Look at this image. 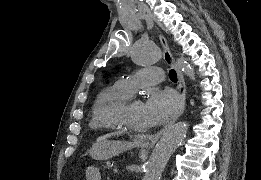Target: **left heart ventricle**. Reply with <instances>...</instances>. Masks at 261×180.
I'll return each instance as SVG.
<instances>
[{
	"mask_svg": "<svg viewBox=\"0 0 261 180\" xmlns=\"http://www.w3.org/2000/svg\"><path fill=\"white\" fill-rule=\"evenodd\" d=\"M120 118L130 130L138 134L146 133L154 124L146 114L141 99L132 100L129 107L120 114Z\"/></svg>",
	"mask_w": 261,
	"mask_h": 180,
	"instance_id": "b2bd125f",
	"label": "left heart ventricle"
}]
</instances>
